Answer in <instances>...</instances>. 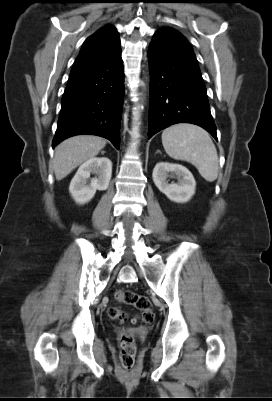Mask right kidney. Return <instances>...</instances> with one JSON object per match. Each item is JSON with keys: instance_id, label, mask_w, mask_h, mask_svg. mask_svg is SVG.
Segmentation results:
<instances>
[{"instance_id": "1", "label": "right kidney", "mask_w": 272, "mask_h": 401, "mask_svg": "<svg viewBox=\"0 0 272 401\" xmlns=\"http://www.w3.org/2000/svg\"><path fill=\"white\" fill-rule=\"evenodd\" d=\"M96 174L90 183V174ZM112 175V162L107 157H94L84 162L71 180L69 192L76 203L85 204L95 195L96 191L108 188Z\"/></svg>"}]
</instances>
